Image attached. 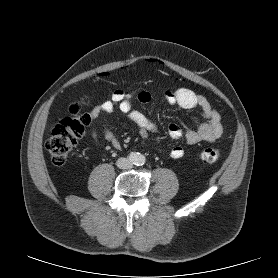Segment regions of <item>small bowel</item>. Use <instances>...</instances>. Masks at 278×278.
I'll list each match as a JSON object with an SVG mask.
<instances>
[{
  "label": "small bowel",
  "instance_id": "small-bowel-1",
  "mask_svg": "<svg viewBox=\"0 0 278 278\" xmlns=\"http://www.w3.org/2000/svg\"><path fill=\"white\" fill-rule=\"evenodd\" d=\"M106 77V73L97 75L98 79ZM163 98L168 104L178 106L182 109L191 110L198 108L206 119L197 129H190L186 132L177 124H171L168 128L170 138L178 140L184 137L188 144L195 145L199 142H213L221 137L223 133L221 115L205 96L197 94L191 89L179 87L174 90L164 91ZM135 99L146 104L152 100V95L147 90L134 92L131 89H117L112 93L109 100L99 104L91 111V120L94 121L102 113L110 114L119 110L137 126L139 135L143 139H148L150 133L156 130V125L133 108ZM91 133L93 138L96 139V132L94 129H92ZM103 133L106 140L111 143L114 149L119 150L121 148L120 141L108 128L105 127ZM183 155L184 149L179 145L174 146L170 151V157L172 159H180Z\"/></svg>",
  "mask_w": 278,
  "mask_h": 278
}]
</instances>
